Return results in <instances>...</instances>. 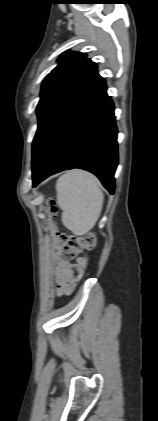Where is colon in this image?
<instances>
[{
	"instance_id": "1",
	"label": "colon",
	"mask_w": 158,
	"mask_h": 421,
	"mask_svg": "<svg viewBox=\"0 0 158 421\" xmlns=\"http://www.w3.org/2000/svg\"><path fill=\"white\" fill-rule=\"evenodd\" d=\"M49 206L53 213L56 212L54 203L49 202ZM95 236L87 235L83 237L70 236L61 232L56 233V243L59 245V257L64 262L73 260L77 254L84 250H91L95 246ZM88 259L86 257L79 258L76 263L69 267L68 280L65 289L70 292L74 289L77 282H79L84 274Z\"/></svg>"
}]
</instances>
